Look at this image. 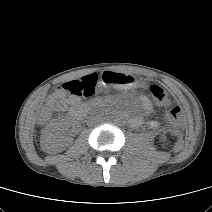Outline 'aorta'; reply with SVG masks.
Listing matches in <instances>:
<instances>
[{"label":"aorta","instance_id":"obj_1","mask_svg":"<svg viewBox=\"0 0 212 212\" xmlns=\"http://www.w3.org/2000/svg\"><path fill=\"white\" fill-rule=\"evenodd\" d=\"M122 120V118L121 117H119V118H117V122H120Z\"/></svg>","mask_w":212,"mask_h":212}]
</instances>
